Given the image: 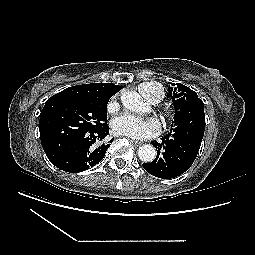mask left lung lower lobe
<instances>
[{"mask_svg":"<svg viewBox=\"0 0 255 255\" xmlns=\"http://www.w3.org/2000/svg\"><path fill=\"white\" fill-rule=\"evenodd\" d=\"M193 123L171 127L161 140L151 142L157 150L156 159L143 163V168L153 176L162 179L175 178L187 171L193 164L204 135L205 114L199 113Z\"/></svg>","mask_w":255,"mask_h":255,"instance_id":"obj_1","label":"left lung lower lobe"}]
</instances>
